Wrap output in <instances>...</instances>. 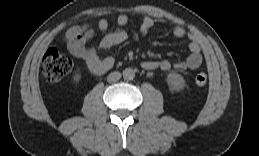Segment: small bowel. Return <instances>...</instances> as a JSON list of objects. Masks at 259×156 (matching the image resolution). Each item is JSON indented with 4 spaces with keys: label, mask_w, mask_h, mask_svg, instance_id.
<instances>
[{
    "label": "small bowel",
    "mask_w": 259,
    "mask_h": 156,
    "mask_svg": "<svg viewBox=\"0 0 259 156\" xmlns=\"http://www.w3.org/2000/svg\"><path fill=\"white\" fill-rule=\"evenodd\" d=\"M128 21L129 17L126 14H121L117 18V23L120 27L125 26ZM157 22L158 20L155 18L149 16L144 17L140 26L141 33H146ZM108 27L109 23L106 19H101L97 23V28L101 31H106ZM93 34V29L87 25L73 26L65 32L64 40L69 52L74 57L83 60L92 73L103 74L113 67L114 59L112 57L101 58L97 48L87 46V43L92 38ZM173 35L177 38L188 39L190 41V54L188 57L175 63L166 59L145 61L142 63L143 69L148 71H169L171 69L183 71L187 69H196L202 64V51L197 37L191 32H186L181 27H175L173 29ZM127 37V33L122 28H117L103 36L99 43V49H109L124 42Z\"/></svg>",
    "instance_id": "small-bowel-1"
}]
</instances>
